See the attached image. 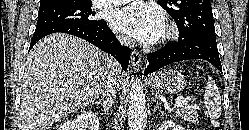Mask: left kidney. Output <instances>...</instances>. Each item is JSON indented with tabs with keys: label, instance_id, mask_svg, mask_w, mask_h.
Instances as JSON below:
<instances>
[{
	"label": "left kidney",
	"instance_id": "left-kidney-1",
	"mask_svg": "<svg viewBox=\"0 0 249 130\" xmlns=\"http://www.w3.org/2000/svg\"><path fill=\"white\" fill-rule=\"evenodd\" d=\"M158 130H184L181 126L175 124L171 120L164 121Z\"/></svg>",
	"mask_w": 249,
	"mask_h": 130
}]
</instances>
